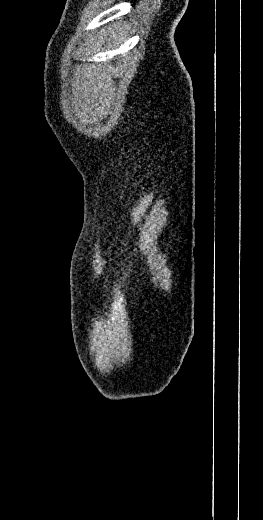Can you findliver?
<instances>
[{"mask_svg":"<svg viewBox=\"0 0 263 520\" xmlns=\"http://www.w3.org/2000/svg\"><path fill=\"white\" fill-rule=\"evenodd\" d=\"M120 31H121L120 27H115V29L113 30V34H119Z\"/></svg>","mask_w":263,"mask_h":520,"instance_id":"obj_1","label":"liver"}]
</instances>
